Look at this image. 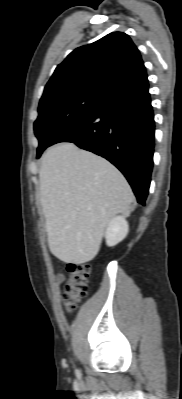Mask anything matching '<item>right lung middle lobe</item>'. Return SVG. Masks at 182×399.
Wrapping results in <instances>:
<instances>
[{
  "label": "right lung middle lobe",
  "instance_id": "obj_1",
  "mask_svg": "<svg viewBox=\"0 0 182 399\" xmlns=\"http://www.w3.org/2000/svg\"><path fill=\"white\" fill-rule=\"evenodd\" d=\"M103 101L104 97L83 93L41 101L39 116L34 123L39 140L37 158L51 145L58 132L97 110Z\"/></svg>",
  "mask_w": 182,
  "mask_h": 399
}]
</instances>
